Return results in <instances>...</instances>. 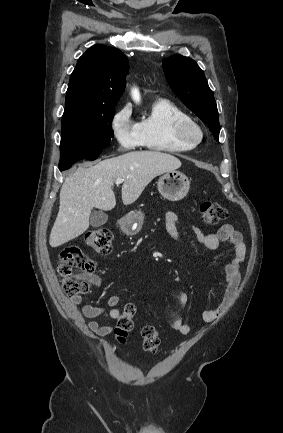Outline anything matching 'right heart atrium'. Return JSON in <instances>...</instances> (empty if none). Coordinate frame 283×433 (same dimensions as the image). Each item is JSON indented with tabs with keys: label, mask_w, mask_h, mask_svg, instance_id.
I'll list each match as a JSON object with an SVG mask.
<instances>
[{
	"label": "right heart atrium",
	"mask_w": 283,
	"mask_h": 433,
	"mask_svg": "<svg viewBox=\"0 0 283 433\" xmlns=\"http://www.w3.org/2000/svg\"><path fill=\"white\" fill-rule=\"evenodd\" d=\"M132 106L127 103L117 108L109 121L117 153H126L144 144L139 123L132 118Z\"/></svg>",
	"instance_id": "d8ad5b80"
}]
</instances>
